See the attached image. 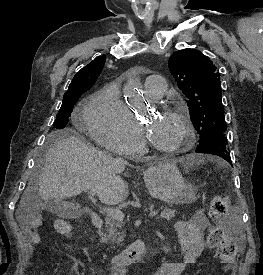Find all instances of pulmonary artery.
Returning <instances> with one entry per match:
<instances>
[{
	"label": "pulmonary artery",
	"mask_w": 263,
	"mask_h": 275,
	"mask_svg": "<svg viewBox=\"0 0 263 275\" xmlns=\"http://www.w3.org/2000/svg\"><path fill=\"white\" fill-rule=\"evenodd\" d=\"M146 93L153 99L161 98L166 92V82L162 76L150 75L144 84Z\"/></svg>",
	"instance_id": "pulmonary-artery-1"
}]
</instances>
